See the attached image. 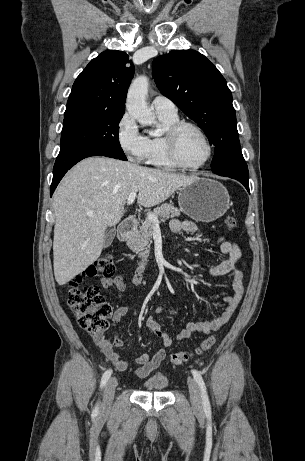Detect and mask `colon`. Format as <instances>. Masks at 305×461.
Wrapping results in <instances>:
<instances>
[{"label": "colon", "mask_w": 305, "mask_h": 461, "mask_svg": "<svg viewBox=\"0 0 305 461\" xmlns=\"http://www.w3.org/2000/svg\"><path fill=\"white\" fill-rule=\"evenodd\" d=\"M228 229H234L237 221L233 216L224 219ZM115 272L112 257L108 254L100 256L87 271L86 276L109 278ZM68 290V305L75 314L79 325L86 332L93 335L102 334L108 328V319L112 315V307L105 300L96 286H81V277L77 276L70 282ZM215 338H206L196 350L197 354L210 350L215 345ZM190 352H175L170 354L172 365H181L191 359Z\"/></svg>", "instance_id": "5ec220e1"}]
</instances>
